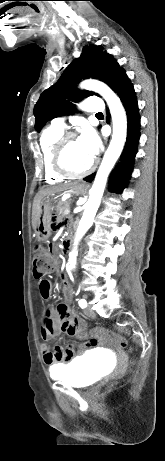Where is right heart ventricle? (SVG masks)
I'll use <instances>...</instances> for the list:
<instances>
[{
	"instance_id": "right-heart-ventricle-1",
	"label": "right heart ventricle",
	"mask_w": 165,
	"mask_h": 461,
	"mask_svg": "<svg viewBox=\"0 0 165 461\" xmlns=\"http://www.w3.org/2000/svg\"><path fill=\"white\" fill-rule=\"evenodd\" d=\"M62 134L63 129L51 125L43 131L39 140L45 179L49 183H58L64 179V176L53 169L51 163L52 148Z\"/></svg>"
}]
</instances>
